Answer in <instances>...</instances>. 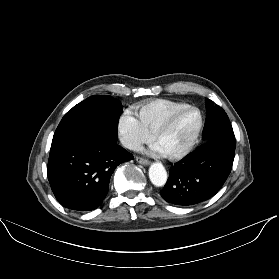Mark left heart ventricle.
Here are the masks:
<instances>
[{
  "instance_id": "obj_1",
  "label": "left heart ventricle",
  "mask_w": 279,
  "mask_h": 279,
  "mask_svg": "<svg viewBox=\"0 0 279 279\" xmlns=\"http://www.w3.org/2000/svg\"><path fill=\"white\" fill-rule=\"evenodd\" d=\"M198 124V113L194 110H186L177 117L170 130L157 144L165 154L178 153L188 145Z\"/></svg>"
}]
</instances>
